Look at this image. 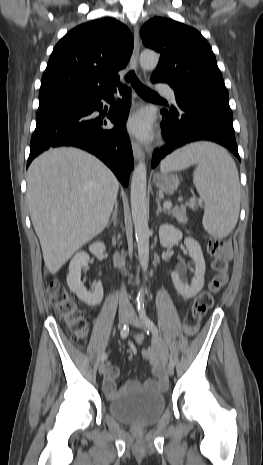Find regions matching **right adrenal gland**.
Wrapping results in <instances>:
<instances>
[{
	"label": "right adrenal gland",
	"mask_w": 263,
	"mask_h": 465,
	"mask_svg": "<svg viewBox=\"0 0 263 465\" xmlns=\"http://www.w3.org/2000/svg\"><path fill=\"white\" fill-rule=\"evenodd\" d=\"M117 213H118V204H117V202H115V207H114V210L112 212V218L108 222L107 226H109L111 223H113V226L117 225Z\"/></svg>",
	"instance_id": "right-adrenal-gland-1"
}]
</instances>
